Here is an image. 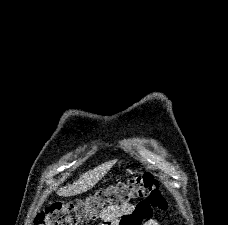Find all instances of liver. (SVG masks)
<instances>
[{
    "mask_svg": "<svg viewBox=\"0 0 228 225\" xmlns=\"http://www.w3.org/2000/svg\"><path fill=\"white\" fill-rule=\"evenodd\" d=\"M115 163H117V159H114V161H108V163H102V165H98L95 169L83 173V175H81L78 181H75L73 185L61 187V189L57 191V195H59V197H72V195H80V193L89 191V189L95 187L96 183H99V181L107 175L108 171L112 169Z\"/></svg>",
    "mask_w": 228,
    "mask_h": 225,
    "instance_id": "6515ba94",
    "label": "liver"
}]
</instances>
